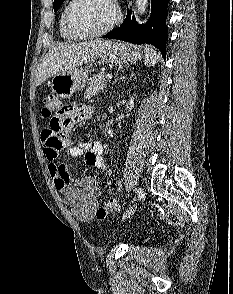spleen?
I'll return each instance as SVG.
<instances>
[{"label":"spleen","instance_id":"spleen-1","mask_svg":"<svg viewBox=\"0 0 233 294\" xmlns=\"http://www.w3.org/2000/svg\"><path fill=\"white\" fill-rule=\"evenodd\" d=\"M144 52H145V60L144 63L147 66L155 65L157 61L159 60V54L157 51L148 45L144 46Z\"/></svg>","mask_w":233,"mask_h":294}]
</instances>
